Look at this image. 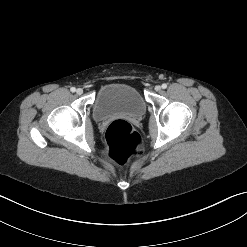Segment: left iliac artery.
<instances>
[{
    "mask_svg": "<svg viewBox=\"0 0 247 247\" xmlns=\"http://www.w3.org/2000/svg\"><path fill=\"white\" fill-rule=\"evenodd\" d=\"M162 88H163V89H166V88H167V84H166V83H163V84H162Z\"/></svg>",
    "mask_w": 247,
    "mask_h": 247,
    "instance_id": "1",
    "label": "left iliac artery"
}]
</instances>
